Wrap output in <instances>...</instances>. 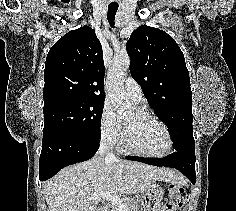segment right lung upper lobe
Segmentation results:
<instances>
[{
    "instance_id": "cb5924a9",
    "label": "right lung upper lobe",
    "mask_w": 236,
    "mask_h": 211,
    "mask_svg": "<svg viewBox=\"0 0 236 211\" xmlns=\"http://www.w3.org/2000/svg\"><path fill=\"white\" fill-rule=\"evenodd\" d=\"M44 81V105L60 99L104 101L102 46L93 29L72 30L51 47Z\"/></svg>"
}]
</instances>
